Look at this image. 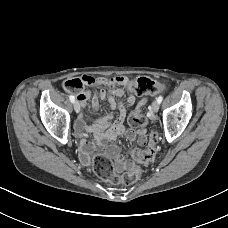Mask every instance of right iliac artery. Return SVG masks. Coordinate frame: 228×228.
Instances as JSON below:
<instances>
[{"label": "right iliac artery", "mask_w": 228, "mask_h": 228, "mask_svg": "<svg viewBox=\"0 0 228 228\" xmlns=\"http://www.w3.org/2000/svg\"><path fill=\"white\" fill-rule=\"evenodd\" d=\"M69 99H70V101H71L72 103L75 102V97H74V96L70 95V96H69Z\"/></svg>", "instance_id": "obj_1"}]
</instances>
